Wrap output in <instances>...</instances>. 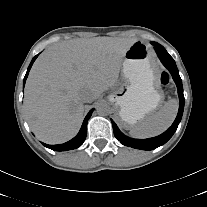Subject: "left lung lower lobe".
Wrapping results in <instances>:
<instances>
[{
    "instance_id": "0a47b994",
    "label": "left lung lower lobe",
    "mask_w": 207,
    "mask_h": 207,
    "mask_svg": "<svg viewBox=\"0 0 207 207\" xmlns=\"http://www.w3.org/2000/svg\"><path fill=\"white\" fill-rule=\"evenodd\" d=\"M154 49L163 63V65L169 70L171 73L173 80L175 81L178 89V95H179V100H180V106H179V111L177 114V117L172 124V126L163 134L154 137V138H149V139H133L125 136L120 132L118 129L117 125L112 121L113 125V131L114 135L121 142V144L129 147H133L136 149H142V150H153L158 148L159 146L165 144L175 133L177 130V127L181 121L183 110H184V95H183V87H182V80L179 76V71L177 69V66L175 64L174 59L168 54V52L165 50V48L156 43L152 42Z\"/></svg>"
}]
</instances>
